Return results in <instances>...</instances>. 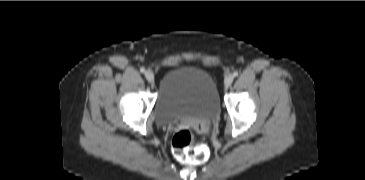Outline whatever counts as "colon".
I'll return each mask as SVG.
<instances>
[{
  "instance_id": "colon-1",
  "label": "colon",
  "mask_w": 365,
  "mask_h": 180,
  "mask_svg": "<svg viewBox=\"0 0 365 180\" xmlns=\"http://www.w3.org/2000/svg\"><path fill=\"white\" fill-rule=\"evenodd\" d=\"M171 147L177 159L188 165H197L206 162L210 150L206 145L194 146V135L190 129H182L175 133Z\"/></svg>"
}]
</instances>
